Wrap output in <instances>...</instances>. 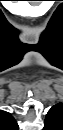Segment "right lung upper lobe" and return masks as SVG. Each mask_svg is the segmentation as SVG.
Masks as SVG:
<instances>
[{"label":"right lung upper lobe","mask_w":63,"mask_h":130,"mask_svg":"<svg viewBox=\"0 0 63 130\" xmlns=\"http://www.w3.org/2000/svg\"><path fill=\"white\" fill-rule=\"evenodd\" d=\"M0 125L4 130H18L16 120L11 116L10 113L5 111L0 112Z\"/></svg>","instance_id":"right-lung-upper-lobe-1"}]
</instances>
